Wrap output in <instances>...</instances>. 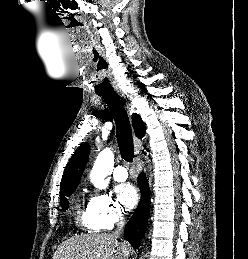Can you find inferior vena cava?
Listing matches in <instances>:
<instances>
[{
    "mask_svg": "<svg viewBox=\"0 0 248 259\" xmlns=\"http://www.w3.org/2000/svg\"><path fill=\"white\" fill-rule=\"evenodd\" d=\"M117 229L114 233L115 236H119L122 233V229L124 227V218L121 214H118L116 217Z\"/></svg>",
    "mask_w": 248,
    "mask_h": 259,
    "instance_id": "602c4592",
    "label": "inferior vena cava"
}]
</instances>
